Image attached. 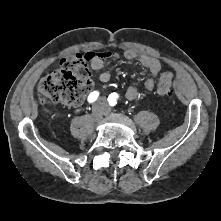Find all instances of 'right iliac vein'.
Wrapping results in <instances>:
<instances>
[{
	"instance_id": "1",
	"label": "right iliac vein",
	"mask_w": 221,
	"mask_h": 221,
	"mask_svg": "<svg viewBox=\"0 0 221 221\" xmlns=\"http://www.w3.org/2000/svg\"><path fill=\"white\" fill-rule=\"evenodd\" d=\"M104 110L102 106L97 105L93 108L92 116L95 119V121H100L103 117Z\"/></svg>"
}]
</instances>
